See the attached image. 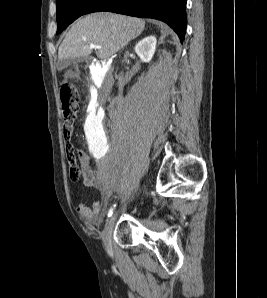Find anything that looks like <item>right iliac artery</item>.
Segmentation results:
<instances>
[{
    "mask_svg": "<svg viewBox=\"0 0 267 298\" xmlns=\"http://www.w3.org/2000/svg\"><path fill=\"white\" fill-rule=\"evenodd\" d=\"M115 207H116V204H114V205L109 209V211H108V217H110V216L112 215V213H113Z\"/></svg>",
    "mask_w": 267,
    "mask_h": 298,
    "instance_id": "1",
    "label": "right iliac artery"
}]
</instances>
